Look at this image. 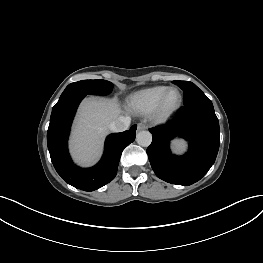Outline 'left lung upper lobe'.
Wrapping results in <instances>:
<instances>
[{"mask_svg": "<svg viewBox=\"0 0 263 263\" xmlns=\"http://www.w3.org/2000/svg\"><path fill=\"white\" fill-rule=\"evenodd\" d=\"M184 91L185 104L193 100L206 97L205 94L192 82L173 81Z\"/></svg>", "mask_w": 263, "mask_h": 263, "instance_id": "1", "label": "left lung upper lobe"}]
</instances>
